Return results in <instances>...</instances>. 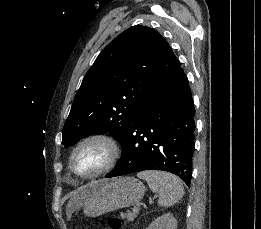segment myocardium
<instances>
[{
  "label": "myocardium",
  "instance_id": "f54148a6",
  "mask_svg": "<svg viewBox=\"0 0 261 229\" xmlns=\"http://www.w3.org/2000/svg\"><path fill=\"white\" fill-rule=\"evenodd\" d=\"M92 143H97L103 146L107 152V158L104 165L101 166V168H99L97 171L92 173H84L79 171L75 167L74 165L75 155L82 147ZM119 155H120L119 145L112 136L106 133H93L79 140L72 148L70 159H69L70 169L74 174L82 178L97 177L111 170L116 165Z\"/></svg>",
  "mask_w": 261,
  "mask_h": 229
}]
</instances>
